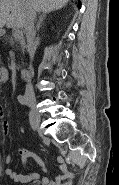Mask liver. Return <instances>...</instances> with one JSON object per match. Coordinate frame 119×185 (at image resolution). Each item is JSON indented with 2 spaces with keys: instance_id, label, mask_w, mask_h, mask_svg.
<instances>
[{
  "instance_id": "6515ba94",
  "label": "liver",
  "mask_w": 119,
  "mask_h": 185,
  "mask_svg": "<svg viewBox=\"0 0 119 185\" xmlns=\"http://www.w3.org/2000/svg\"><path fill=\"white\" fill-rule=\"evenodd\" d=\"M69 0H0V28L24 27L25 10L30 6L35 12H51L64 7Z\"/></svg>"
}]
</instances>
